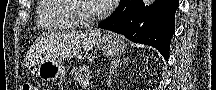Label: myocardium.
Returning <instances> with one entry per match:
<instances>
[{"mask_svg": "<svg viewBox=\"0 0 216 90\" xmlns=\"http://www.w3.org/2000/svg\"><path fill=\"white\" fill-rule=\"evenodd\" d=\"M79 1H93V0H69L65 3L66 9H72L71 18L78 23L81 28H95L96 23L101 19H107L109 16L110 8L101 4L98 8L97 14L93 17L85 16L77 12L76 3Z\"/></svg>", "mask_w": 216, "mask_h": 90, "instance_id": "1", "label": "myocardium"}]
</instances>
